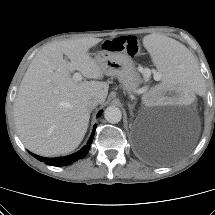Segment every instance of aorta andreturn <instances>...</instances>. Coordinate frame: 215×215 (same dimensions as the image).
Listing matches in <instances>:
<instances>
[{"label":"aorta","instance_id":"aorta-1","mask_svg":"<svg viewBox=\"0 0 215 215\" xmlns=\"http://www.w3.org/2000/svg\"><path fill=\"white\" fill-rule=\"evenodd\" d=\"M104 117L107 122L115 124L122 119V112L116 106H109L104 111Z\"/></svg>","mask_w":215,"mask_h":215}]
</instances>
